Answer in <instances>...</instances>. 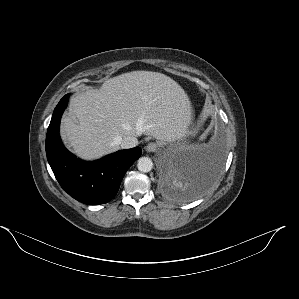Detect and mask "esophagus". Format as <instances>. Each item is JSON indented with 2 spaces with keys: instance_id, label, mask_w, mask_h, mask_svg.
I'll use <instances>...</instances> for the list:
<instances>
[{
  "instance_id": "obj_1",
  "label": "esophagus",
  "mask_w": 299,
  "mask_h": 299,
  "mask_svg": "<svg viewBox=\"0 0 299 299\" xmlns=\"http://www.w3.org/2000/svg\"><path fill=\"white\" fill-rule=\"evenodd\" d=\"M147 152H156L158 150V144L155 142H150L145 147Z\"/></svg>"
}]
</instances>
